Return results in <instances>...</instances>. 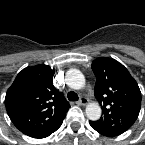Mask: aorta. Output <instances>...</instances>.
<instances>
[{"label":"aorta","instance_id":"762f6f07","mask_svg":"<svg viewBox=\"0 0 145 145\" xmlns=\"http://www.w3.org/2000/svg\"><path fill=\"white\" fill-rule=\"evenodd\" d=\"M66 84L72 89H82L85 85V77L81 71L71 69L66 73ZM85 111L86 116L92 121L98 120L101 116V108L95 102L89 103Z\"/></svg>","mask_w":145,"mask_h":145}]
</instances>
